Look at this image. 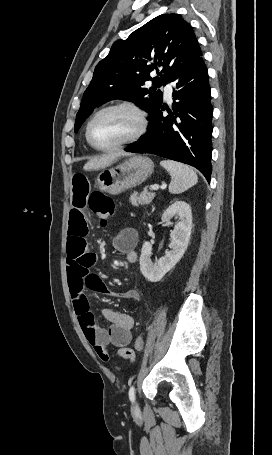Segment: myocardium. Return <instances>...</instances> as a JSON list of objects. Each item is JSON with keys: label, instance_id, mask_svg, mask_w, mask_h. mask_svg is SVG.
<instances>
[{"label": "myocardium", "instance_id": "myocardium-1", "mask_svg": "<svg viewBox=\"0 0 272 455\" xmlns=\"http://www.w3.org/2000/svg\"><path fill=\"white\" fill-rule=\"evenodd\" d=\"M121 108L128 109L136 115L137 120H138L137 130L129 138H127L113 146H110V147L97 146L93 142L92 137H91V128H92L93 123L102 113L109 111V110L121 109ZM147 128H148V118H147V113L145 112V110L143 108H141L138 104H136L132 101H128V100L116 101V102H113V103H110V104H107V105L101 107L99 110H97L93 114V116L89 120L87 127H86V139H87L89 145L93 149L100 151V152H112V151H116V150L125 148L129 145H132V144L138 142L145 135Z\"/></svg>", "mask_w": 272, "mask_h": 455}]
</instances>
